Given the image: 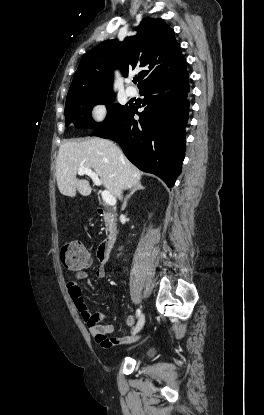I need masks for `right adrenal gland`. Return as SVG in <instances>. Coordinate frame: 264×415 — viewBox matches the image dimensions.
<instances>
[{
  "label": "right adrenal gland",
  "mask_w": 264,
  "mask_h": 415,
  "mask_svg": "<svg viewBox=\"0 0 264 415\" xmlns=\"http://www.w3.org/2000/svg\"><path fill=\"white\" fill-rule=\"evenodd\" d=\"M144 189V187L141 185V183L139 182V183H137L136 185H134L133 186V188H132V190H131V192H130V194L129 195H127V197L125 198V200H124V203H123V208H126L127 207V202H128V200L130 199V197L137 191V190H143Z\"/></svg>",
  "instance_id": "1"
}]
</instances>
